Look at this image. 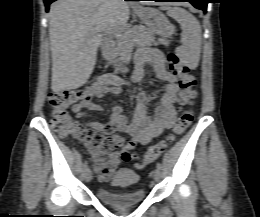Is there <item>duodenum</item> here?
<instances>
[{
	"mask_svg": "<svg viewBox=\"0 0 260 217\" xmlns=\"http://www.w3.org/2000/svg\"><path fill=\"white\" fill-rule=\"evenodd\" d=\"M103 55L106 59H111L113 57V54L110 50H105Z\"/></svg>",
	"mask_w": 260,
	"mask_h": 217,
	"instance_id": "410a0bca",
	"label": "duodenum"
}]
</instances>
